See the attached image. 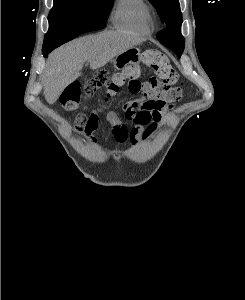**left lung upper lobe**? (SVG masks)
<instances>
[{
  "instance_id": "5c2ea615",
  "label": "left lung upper lobe",
  "mask_w": 245,
  "mask_h": 300,
  "mask_svg": "<svg viewBox=\"0 0 245 300\" xmlns=\"http://www.w3.org/2000/svg\"><path fill=\"white\" fill-rule=\"evenodd\" d=\"M157 9L166 24V29L157 33V39L172 49L178 57L184 50V38L181 35L182 14L178 0H149Z\"/></svg>"
}]
</instances>
